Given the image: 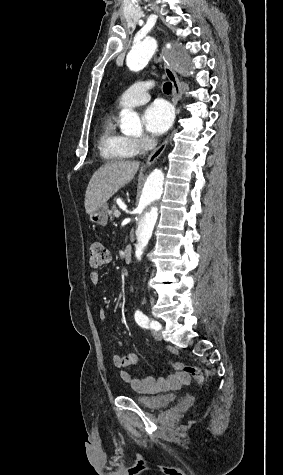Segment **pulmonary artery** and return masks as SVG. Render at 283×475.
I'll use <instances>...</instances> for the list:
<instances>
[{
    "label": "pulmonary artery",
    "instance_id": "obj_1",
    "mask_svg": "<svg viewBox=\"0 0 283 475\" xmlns=\"http://www.w3.org/2000/svg\"><path fill=\"white\" fill-rule=\"evenodd\" d=\"M149 82L146 80H139L138 83H134L129 86L124 93L117 100V107L124 108L142 104L147 100L153 98V93L147 91Z\"/></svg>",
    "mask_w": 283,
    "mask_h": 475
}]
</instances>
